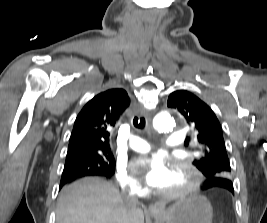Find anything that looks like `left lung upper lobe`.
Listing matches in <instances>:
<instances>
[{"instance_id":"left-lung-upper-lobe-1","label":"left lung upper lobe","mask_w":267,"mask_h":223,"mask_svg":"<svg viewBox=\"0 0 267 223\" xmlns=\"http://www.w3.org/2000/svg\"><path fill=\"white\" fill-rule=\"evenodd\" d=\"M167 105L177 109L197 135L200 155L193 161L206 177L230 180V163L226 152L221 125L211 108L194 94L178 90L170 94ZM208 173H223V178H208Z\"/></svg>"}]
</instances>
